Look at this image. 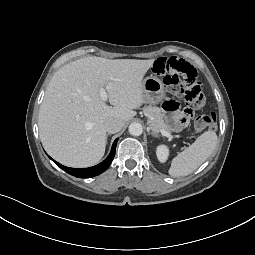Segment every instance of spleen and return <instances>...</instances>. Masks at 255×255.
Returning <instances> with one entry per match:
<instances>
[{"mask_svg":"<svg viewBox=\"0 0 255 255\" xmlns=\"http://www.w3.org/2000/svg\"><path fill=\"white\" fill-rule=\"evenodd\" d=\"M217 140V134L214 131H205L192 145L172 159L168 170L169 175L180 177L195 171L213 153Z\"/></svg>","mask_w":255,"mask_h":255,"instance_id":"3e777b00","label":"spleen"}]
</instances>
